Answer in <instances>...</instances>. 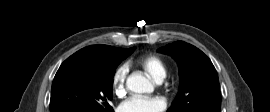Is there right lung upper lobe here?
<instances>
[{"instance_id":"cb5924a9","label":"right lung upper lobe","mask_w":270,"mask_h":112,"mask_svg":"<svg viewBox=\"0 0 270 112\" xmlns=\"http://www.w3.org/2000/svg\"><path fill=\"white\" fill-rule=\"evenodd\" d=\"M116 49L117 48L108 45H92L77 51L70 57L99 60L109 57L115 53Z\"/></svg>"}]
</instances>
